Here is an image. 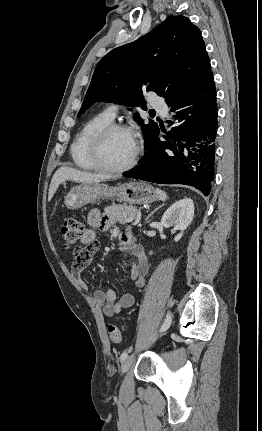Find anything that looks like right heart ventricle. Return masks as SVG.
I'll use <instances>...</instances> for the list:
<instances>
[{"label":"right heart ventricle","mask_w":262,"mask_h":431,"mask_svg":"<svg viewBox=\"0 0 262 431\" xmlns=\"http://www.w3.org/2000/svg\"><path fill=\"white\" fill-rule=\"evenodd\" d=\"M112 123L106 112L94 115L87 120L75 135L70 147V155L75 167L84 171H97L91 160V144L96 133Z\"/></svg>","instance_id":"obj_1"}]
</instances>
